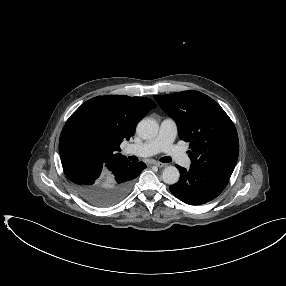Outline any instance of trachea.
Returning a JSON list of instances; mask_svg holds the SVG:
<instances>
[{"label":"trachea","instance_id":"trachea-1","mask_svg":"<svg viewBox=\"0 0 286 286\" xmlns=\"http://www.w3.org/2000/svg\"><path fill=\"white\" fill-rule=\"evenodd\" d=\"M160 161L163 163H169L172 161V159L170 157H162Z\"/></svg>","mask_w":286,"mask_h":286}]
</instances>
